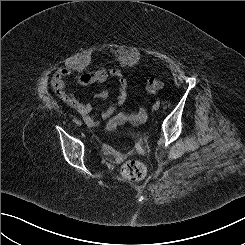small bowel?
<instances>
[{"label": "small bowel", "instance_id": "1", "mask_svg": "<svg viewBox=\"0 0 245 245\" xmlns=\"http://www.w3.org/2000/svg\"><path fill=\"white\" fill-rule=\"evenodd\" d=\"M73 73L74 70L70 67H62L58 69L52 77L51 85L57 97L69 107L76 110L82 116L88 127H99L103 121L111 118L117 112L118 108L125 103L128 95V86L124 74L120 69H107L105 67H100L93 72L78 73L73 77V80L80 85L103 83L108 79H114L119 83L115 102L105 108L99 116H92L91 103L80 101L74 94L66 90L67 80ZM94 96L97 99H106L108 98L109 93L106 90H100L95 92Z\"/></svg>", "mask_w": 245, "mask_h": 245}]
</instances>
